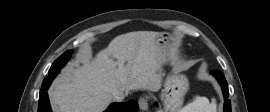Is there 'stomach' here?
I'll list each match as a JSON object with an SVG mask.
<instances>
[{
  "instance_id": "0dacf381",
  "label": "stomach",
  "mask_w": 270,
  "mask_h": 112,
  "mask_svg": "<svg viewBox=\"0 0 270 112\" xmlns=\"http://www.w3.org/2000/svg\"><path fill=\"white\" fill-rule=\"evenodd\" d=\"M159 47V58L162 62L171 60L173 48L169 35L159 33L155 38ZM164 88L161 91L160 99L163 102L166 111H176L183 103L184 96L189 89V81L178 69H173L166 77L163 83Z\"/></svg>"
}]
</instances>
